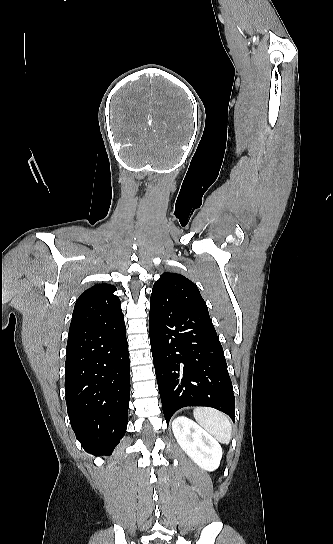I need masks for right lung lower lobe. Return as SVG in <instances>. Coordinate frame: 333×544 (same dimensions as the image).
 Wrapping results in <instances>:
<instances>
[{
    "label": "right lung lower lobe",
    "mask_w": 333,
    "mask_h": 544,
    "mask_svg": "<svg viewBox=\"0 0 333 544\" xmlns=\"http://www.w3.org/2000/svg\"><path fill=\"white\" fill-rule=\"evenodd\" d=\"M67 412L88 453L110 452L127 428L130 361L123 313L70 331L65 362Z\"/></svg>",
    "instance_id": "right-lung-lower-lobe-1"
}]
</instances>
